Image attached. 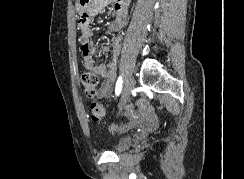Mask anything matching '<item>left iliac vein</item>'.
Wrapping results in <instances>:
<instances>
[{
    "mask_svg": "<svg viewBox=\"0 0 244 179\" xmlns=\"http://www.w3.org/2000/svg\"><path fill=\"white\" fill-rule=\"evenodd\" d=\"M134 86H135V80L133 79L132 76L128 77L124 81V85L122 88V99H121L120 106H119L120 111L125 109L126 104L130 101L131 93H132L131 91Z\"/></svg>",
    "mask_w": 244,
    "mask_h": 179,
    "instance_id": "left-iliac-vein-1",
    "label": "left iliac vein"
}]
</instances>
